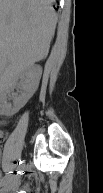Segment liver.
Here are the masks:
<instances>
[{
	"instance_id": "6515ba94",
	"label": "liver",
	"mask_w": 103,
	"mask_h": 193,
	"mask_svg": "<svg viewBox=\"0 0 103 193\" xmlns=\"http://www.w3.org/2000/svg\"><path fill=\"white\" fill-rule=\"evenodd\" d=\"M54 0H0V79L7 83L49 53Z\"/></svg>"
}]
</instances>
